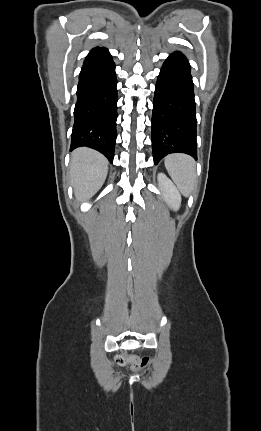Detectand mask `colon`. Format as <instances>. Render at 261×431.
<instances>
[{
    "label": "colon",
    "instance_id": "colon-1",
    "mask_svg": "<svg viewBox=\"0 0 261 431\" xmlns=\"http://www.w3.org/2000/svg\"><path fill=\"white\" fill-rule=\"evenodd\" d=\"M115 362L119 365H124L127 363V358L125 355L121 354L115 357ZM147 363V358H143L139 363L135 365L136 368L143 367Z\"/></svg>",
    "mask_w": 261,
    "mask_h": 431
}]
</instances>
